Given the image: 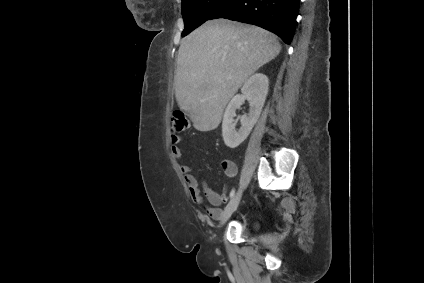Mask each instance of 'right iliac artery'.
Instances as JSON below:
<instances>
[{
  "mask_svg": "<svg viewBox=\"0 0 424 283\" xmlns=\"http://www.w3.org/2000/svg\"><path fill=\"white\" fill-rule=\"evenodd\" d=\"M234 194H235V189H233V190L230 192V199H231V198H233Z\"/></svg>",
  "mask_w": 424,
  "mask_h": 283,
  "instance_id": "82829eb1",
  "label": "right iliac artery"
}]
</instances>
